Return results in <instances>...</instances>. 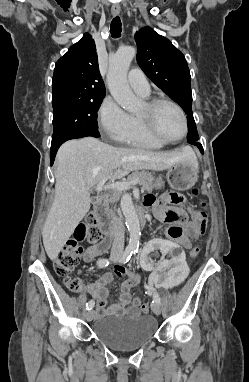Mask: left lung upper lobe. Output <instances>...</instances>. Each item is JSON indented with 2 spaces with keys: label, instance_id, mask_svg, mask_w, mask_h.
<instances>
[{
  "label": "left lung upper lobe",
  "instance_id": "left-lung-upper-lobe-1",
  "mask_svg": "<svg viewBox=\"0 0 249 382\" xmlns=\"http://www.w3.org/2000/svg\"><path fill=\"white\" fill-rule=\"evenodd\" d=\"M137 62L147 77L177 102L187 114L188 143L198 140L192 114L191 76L184 55L150 27L135 34Z\"/></svg>",
  "mask_w": 249,
  "mask_h": 382
}]
</instances>
